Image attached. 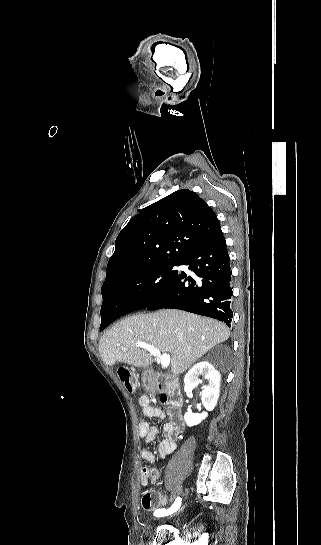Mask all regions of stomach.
<instances>
[{
  "label": "stomach",
  "mask_w": 321,
  "mask_h": 545,
  "mask_svg": "<svg viewBox=\"0 0 321 545\" xmlns=\"http://www.w3.org/2000/svg\"><path fill=\"white\" fill-rule=\"evenodd\" d=\"M147 377H149V371H143L142 373V381H143V387H148V385H146V379Z\"/></svg>",
  "instance_id": "obj_1"
}]
</instances>
